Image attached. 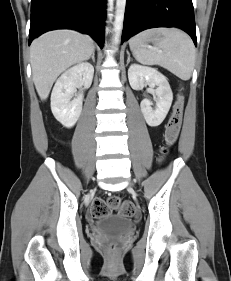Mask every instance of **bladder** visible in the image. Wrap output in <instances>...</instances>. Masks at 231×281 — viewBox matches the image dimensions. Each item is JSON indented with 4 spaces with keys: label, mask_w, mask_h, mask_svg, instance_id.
I'll use <instances>...</instances> for the list:
<instances>
[{
    "label": "bladder",
    "mask_w": 231,
    "mask_h": 281,
    "mask_svg": "<svg viewBox=\"0 0 231 281\" xmlns=\"http://www.w3.org/2000/svg\"><path fill=\"white\" fill-rule=\"evenodd\" d=\"M132 219L124 215L107 214L99 217L93 224L94 230L100 233L124 234L133 230Z\"/></svg>",
    "instance_id": "bladder-1"
}]
</instances>
